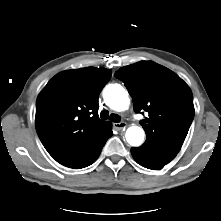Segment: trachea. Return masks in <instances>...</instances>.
Masks as SVG:
<instances>
[{"mask_svg":"<svg viewBox=\"0 0 221 221\" xmlns=\"http://www.w3.org/2000/svg\"><path fill=\"white\" fill-rule=\"evenodd\" d=\"M100 117L102 119H109L110 121L115 122V123L120 122V116L118 114L109 115V112L107 110L101 111Z\"/></svg>","mask_w":221,"mask_h":221,"instance_id":"trachea-1","label":"trachea"}]
</instances>
